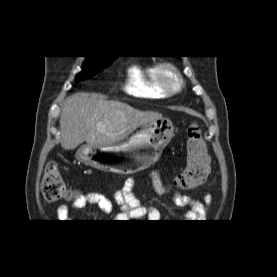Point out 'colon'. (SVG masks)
Segmentation results:
<instances>
[{
  "mask_svg": "<svg viewBox=\"0 0 277 277\" xmlns=\"http://www.w3.org/2000/svg\"><path fill=\"white\" fill-rule=\"evenodd\" d=\"M186 166L177 177L176 183L184 188H194L203 184L209 174V157L202 131L197 124L189 126L186 140ZM43 198L49 202L76 199L69 189L55 162H48L41 182Z\"/></svg>",
  "mask_w": 277,
  "mask_h": 277,
  "instance_id": "5ec220e1",
  "label": "colon"
}]
</instances>
